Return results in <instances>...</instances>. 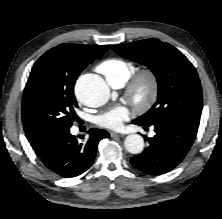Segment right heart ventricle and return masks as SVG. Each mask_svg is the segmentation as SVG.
<instances>
[{
    "instance_id": "obj_1",
    "label": "right heart ventricle",
    "mask_w": 222,
    "mask_h": 219,
    "mask_svg": "<svg viewBox=\"0 0 222 219\" xmlns=\"http://www.w3.org/2000/svg\"><path fill=\"white\" fill-rule=\"evenodd\" d=\"M97 68L110 85L113 82L124 84L135 71V66L131 62L120 58L106 59Z\"/></svg>"
}]
</instances>
